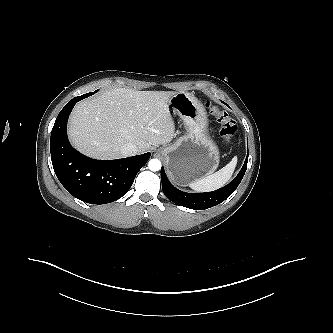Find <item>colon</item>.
<instances>
[{
  "label": "colon",
  "instance_id": "5ec220e1",
  "mask_svg": "<svg viewBox=\"0 0 333 333\" xmlns=\"http://www.w3.org/2000/svg\"><path fill=\"white\" fill-rule=\"evenodd\" d=\"M206 106L209 111L216 117L217 121L221 124L220 134L223 137L225 143H229L232 137L238 131L236 122L228 115L227 112L220 110L211 102H207Z\"/></svg>",
  "mask_w": 333,
  "mask_h": 333
}]
</instances>
